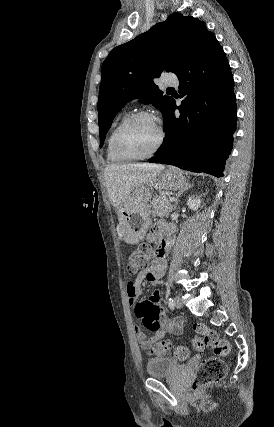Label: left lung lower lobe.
I'll list each match as a JSON object with an SVG mask.
<instances>
[{"mask_svg":"<svg viewBox=\"0 0 274 427\" xmlns=\"http://www.w3.org/2000/svg\"><path fill=\"white\" fill-rule=\"evenodd\" d=\"M178 79L183 100L177 107L172 99L166 108V138L148 162L221 177L236 130V98L230 66L215 37L202 44Z\"/></svg>","mask_w":274,"mask_h":427,"instance_id":"1","label":"left lung lower lobe"}]
</instances>
